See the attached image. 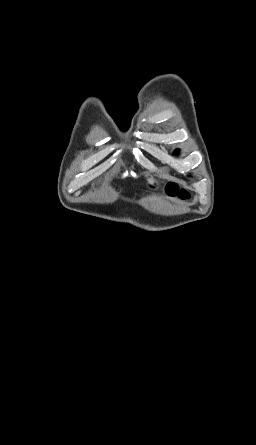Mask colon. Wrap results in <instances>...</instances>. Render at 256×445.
Wrapping results in <instances>:
<instances>
[{"label":"colon","mask_w":256,"mask_h":445,"mask_svg":"<svg viewBox=\"0 0 256 445\" xmlns=\"http://www.w3.org/2000/svg\"><path fill=\"white\" fill-rule=\"evenodd\" d=\"M166 191L170 196H179L182 199H186L188 197V194L184 190H180L174 183L167 184Z\"/></svg>","instance_id":"colon-1"}]
</instances>
